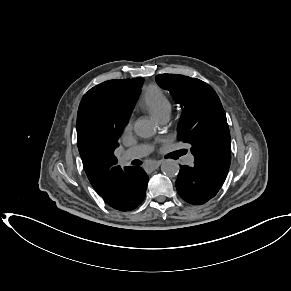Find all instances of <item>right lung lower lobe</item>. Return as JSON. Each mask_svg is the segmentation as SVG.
<instances>
[{
	"label": "right lung lower lobe",
	"mask_w": 291,
	"mask_h": 291,
	"mask_svg": "<svg viewBox=\"0 0 291 291\" xmlns=\"http://www.w3.org/2000/svg\"><path fill=\"white\" fill-rule=\"evenodd\" d=\"M147 184L148 176L141 167H126L122 176V194L118 199L106 203L122 212L131 211L143 202Z\"/></svg>",
	"instance_id": "right-lung-lower-lobe-1"
}]
</instances>
